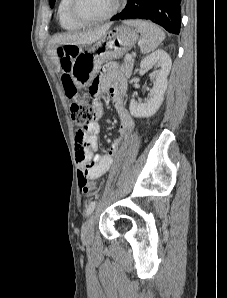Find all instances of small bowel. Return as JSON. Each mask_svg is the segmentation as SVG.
Segmentation results:
<instances>
[{
  "label": "small bowel",
  "instance_id": "small-bowel-1",
  "mask_svg": "<svg viewBox=\"0 0 227 298\" xmlns=\"http://www.w3.org/2000/svg\"><path fill=\"white\" fill-rule=\"evenodd\" d=\"M88 87H90L89 91L92 92V95L86 98L85 102L94 103V107H88L87 111L91 115H96V117L90 118L91 124L82 126V129L85 130V160H79L76 154V161L79 166V173H86L88 179H98L110 169L113 156L121 141L132 133L134 121L124 106L127 81L118 70L116 63H103V69H100L98 75H94L91 82H88ZM105 92L112 97L113 104L119 115V138L113 141L106 154H95L99 143V119L104 114V109L100 103H102V96Z\"/></svg>",
  "mask_w": 227,
  "mask_h": 298
}]
</instances>
